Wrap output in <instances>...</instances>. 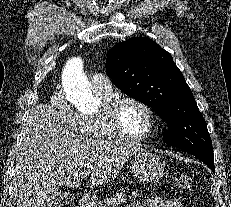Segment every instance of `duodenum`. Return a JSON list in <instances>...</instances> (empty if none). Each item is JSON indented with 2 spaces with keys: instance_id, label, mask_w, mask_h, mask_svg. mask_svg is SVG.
<instances>
[{
  "instance_id": "duodenum-1",
  "label": "duodenum",
  "mask_w": 231,
  "mask_h": 207,
  "mask_svg": "<svg viewBox=\"0 0 231 207\" xmlns=\"http://www.w3.org/2000/svg\"><path fill=\"white\" fill-rule=\"evenodd\" d=\"M95 194L94 193H86L80 199V207H92L95 201Z\"/></svg>"
}]
</instances>
